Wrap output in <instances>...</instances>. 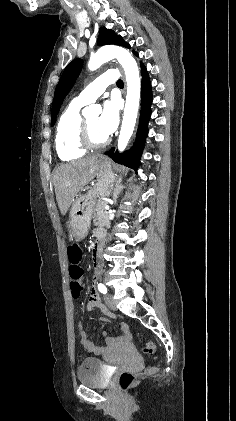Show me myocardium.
I'll return each mask as SVG.
<instances>
[{"instance_id":"f54148a6","label":"myocardium","mask_w":236,"mask_h":421,"mask_svg":"<svg viewBox=\"0 0 236 421\" xmlns=\"http://www.w3.org/2000/svg\"><path fill=\"white\" fill-rule=\"evenodd\" d=\"M76 139L79 145L84 150H94L105 147L109 143V137L106 138L101 142H94L89 136L88 126H87V119L86 117H81L77 128H76Z\"/></svg>"}]
</instances>
